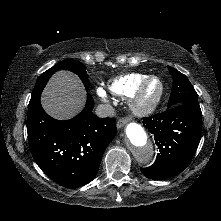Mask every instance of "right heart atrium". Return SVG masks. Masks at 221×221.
I'll return each instance as SVG.
<instances>
[{
	"label": "right heart atrium",
	"mask_w": 221,
	"mask_h": 221,
	"mask_svg": "<svg viewBox=\"0 0 221 221\" xmlns=\"http://www.w3.org/2000/svg\"><path fill=\"white\" fill-rule=\"evenodd\" d=\"M97 93H98L100 96H103V95H104V92H103L102 89H98V90H97Z\"/></svg>",
	"instance_id": "d8ad5b80"
}]
</instances>
